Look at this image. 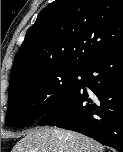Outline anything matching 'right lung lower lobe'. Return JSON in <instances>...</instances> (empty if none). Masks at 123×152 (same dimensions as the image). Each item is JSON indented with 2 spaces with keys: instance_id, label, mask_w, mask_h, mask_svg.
Here are the masks:
<instances>
[{
  "instance_id": "1",
  "label": "right lung lower lobe",
  "mask_w": 123,
  "mask_h": 152,
  "mask_svg": "<svg viewBox=\"0 0 123 152\" xmlns=\"http://www.w3.org/2000/svg\"><path fill=\"white\" fill-rule=\"evenodd\" d=\"M81 77L77 90L38 125L76 131L123 152V42L98 55Z\"/></svg>"
}]
</instances>
